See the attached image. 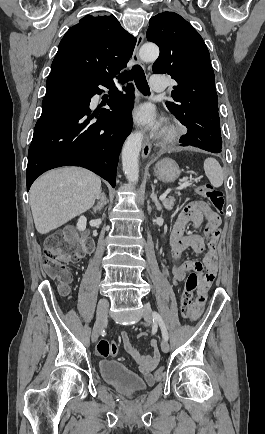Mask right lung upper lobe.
<instances>
[{"mask_svg":"<svg viewBox=\"0 0 265 434\" xmlns=\"http://www.w3.org/2000/svg\"><path fill=\"white\" fill-rule=\"evenodd\" d=\"M136 41L114 15H86L62 38L51 72L116 74L126 67Z\"/></svg>","mask_w":265,"mask_h":434,"instance_id":"right-lung-upper-lobe-1","label":"right lung upper lobe"}]
</instances>
